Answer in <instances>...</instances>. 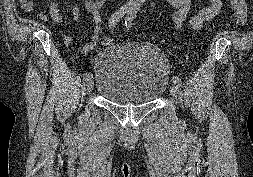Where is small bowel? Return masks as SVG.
<instances>
[{
	"mask_svg": "<svg viewBox=\"0 0 253 177\" xmlns=\"http://www.w3.org/2000/svg\"><path fill=\"white\" fill-rule=\"evenodd\" d=\"M22 9L30 12L33 8V0H19ZM48 2V12L39 14L40 19L47 20L51 18L56 23H63L65 18L62 16L59 5L54 0H46ZM84 8L91 14L94 28L92 30V42L83 48V52H87L93 48L98 40L101 32L102 14L101 9L106 0H82ZM195 0H166V2L175 8L172 19L176 30L187 29L190 32H198L203 25L212 20L222 8V0H209L208 5L199 11L189 15ZM72 16L77 24L81 21L80 9L76 2L71 5ZM72 39L66 38L67 42Z\"/></svg>",
	"mask_w": 253,
	"mask_h": 177,
	"instance_id": "obj_1",
	"label": "small bowel"
}]
</instances>
